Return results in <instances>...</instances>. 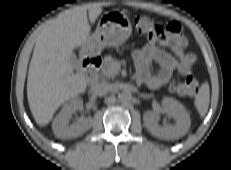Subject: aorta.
<instances>
[{
  "instance_id": "762f6f07",
  "label": "aorta",
  "mask_w": 231,
  "mask_h": 170,
  "mask_svg": "<svg viewBox=\"0 0 231 170\" xmlns=\"http://www.w3.org/2000/svg\"><path fill=\"white\" fill-rule=\"evenodd\" d=\"M118 99L121 103L127 104L130 103L132 100V95L129 92H122L118 95Z\"/></svg>"
}]
</instances>
